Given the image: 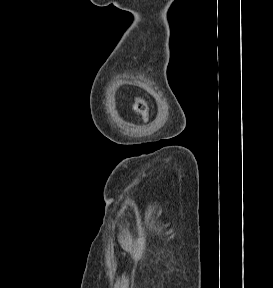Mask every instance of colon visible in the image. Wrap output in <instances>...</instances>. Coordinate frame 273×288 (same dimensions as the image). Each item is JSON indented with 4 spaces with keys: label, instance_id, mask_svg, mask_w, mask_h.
Listing matches in <instances>:
<instances>
[{
    "label": "colon",
    "instance_id": "1",
    "mask_svg": "<svg viewBox=\"0 0 273 288\" xmlns=\"http://www.w3.org/2000/svg\"><path fill=\"white\" fill-rule=\"evenodd\" d=\"M133 109L138 115L142 117V119H147L149 114V105L144 98L137 97L134 101Z\"/></svg>",
    "mask_w": 273,
    "mask_h": 288
}]
</instances>
